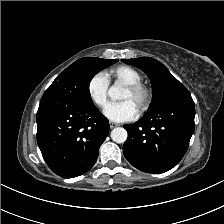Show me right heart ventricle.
<instances>
[{
    "mask_svg": "<svg viewBox=\"0 0 224 224\" xmlns=\"http://www.w3.org/2000/svg\"><path fill=\"white\" fill-rule=\"evenodd\" d=\"M107 77L110 80L120 82L124 85L141 83L143 80L138 70L127 65H120L110 69L107 72Z\"/></svg>",
    "mask_w": 224,
    "mask_h": 224,
    "instance_id": "obj_1",
    "label": "right heart ventricle"
}]
</instances>
